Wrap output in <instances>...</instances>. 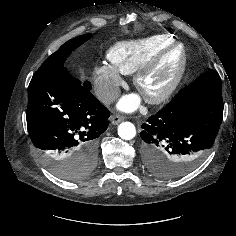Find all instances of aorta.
<instances>
[{
    "mask_svg": "<svg viewBox=\"0 0 236 236\" xmlns=\"http://www.w3.org/2000/svg\"><path fill=\"white\" fill-rule=\"evenodd\" d=\"M118 135L123 140H132L136 136V128L131 122H122L118 126Z\"/></svg>",
    "mask_w": 236,
    "mask_h": 236,
    "instance_id": "762f6f07",
    "label": "aorta"
}]
</instances>
